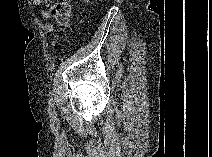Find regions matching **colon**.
Instances as JSON below:
<instances>
[{
	"instance_id": "1",
	"label": "colon",
	"mask_w": 212,
	"mask_h": 157,
	"mask_svg": "<svg viewBox=\"0 0 212 157\" xmlns=\"http://www.w3.org/2000/svg\"><path fill=\"white\" fill-rule=\"evenodd\" d=\"M50 15L60 26L66 27L70 19L71 5L66 0H49Z\"/></svg>"
}]
</instances>
